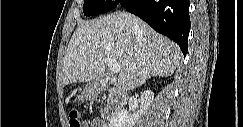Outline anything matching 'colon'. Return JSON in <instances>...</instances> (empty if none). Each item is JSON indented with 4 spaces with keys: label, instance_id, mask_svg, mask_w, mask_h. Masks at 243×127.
Returning <instances> with one entry per match:
<instances>
[{
    "label": "colon",
    "instance_id": "colon-1",
    "mask_svg": "<svg viewBox=\"0 0 243 127\" xmlns=\"http://www.w3.org/2000/svg\"><path fill=\"white\" fill-rule=\"evenodd\" d=\"M69 126L70 127H84V123L81 121L77 111H75V110L70 112Z\"/></svg>",
    "mask_w": 243,
    "mask_h": 127
}]
</instances>
